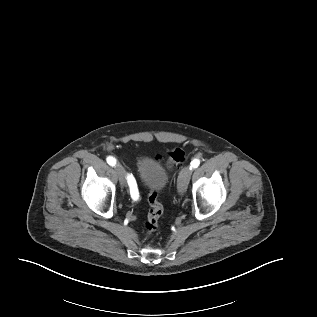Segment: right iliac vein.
I'll list each match as a JSON object with an SVG mask.
<instances>
[{"instance_id":"right-iliac-vein-1","label":"right iliac vein","mask_w":317,"mask_h":317,"mask_svg":"<svg viewBox=\"0 0 317 317\" xmlns=\"http://www.w3.org/2000/svg\"><path fill=\"white\" fill-rule=\"evenodd\" d=\"M115 171L117 173V176L119 178V182L122 186H126V178H125V171L123 167L120 164H117L115 166Z\"/></svg>"}]
</instances>
